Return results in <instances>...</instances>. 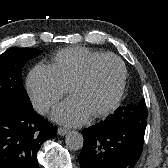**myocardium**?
Listing matches in <instances>:
<instances>
[{"label": "myocardium", "instance_id": "f54148a6", "mask_svg": "<svg viewBox=\"0 0 168 168\" xmlns=\"http://www.w3.org/2000/svg\"><path fill=\"white\" fill-rule=\"evenodd\" d=\"M106 59H113L119 64L120 70H121L120 82H119V85H118L117 92H116L114 98L112 99V101L105 108H103L102 110L92 113V116L94 118H100V117H104V116L109 115L119 105V103H120V101H121V99H122V97L124 95V91H125V87H126V81H127V69H126L124 61L118 55H116L114 53H104V54L92 59L86 65V67L81 72V74L70 85V92L72 93L73 90L76 87H78L81 84L85 83L90 78L94 68L101 61L106 60Z\"/></svg>", "mask_w": 168, "mask_h": 168}]
</instances>
